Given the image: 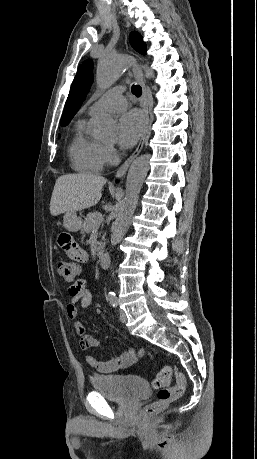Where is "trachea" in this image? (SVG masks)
<instances>
[{
  "mask_svg": "<svg viewBox=\"0 0 257 459\" xmlns=\"http://www.w3.org/2000/svg\"><path fill=\"white\" fill-rule=\"evenodd\" d=\"M132 93L136 96V97H140L141 94H142V88L140 85H133L132 86Z\"/></svg>",
  "mask_w": 257,
  "mask_h": 459,
  "instance_id": "obj_1",
  "label": "trachea"
}]
</instances>
